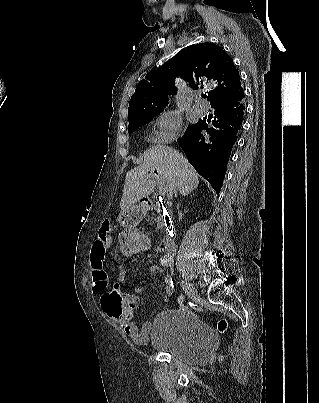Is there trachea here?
Masks as SVG:
<instances>
[{
  "label": "trachea",
  "mask_w": 319,
  "mask_h": 403,
  "mask_svg": "<svg viewBox=\"0 0 319 403\" xmlns=\"http://www.w3.org/2000/svg\"><path fill=\"white\" fill-rule=\"evenodd\" d=\"M203 97L206 98V94H203Z\"/></svg>",
  "instance_id": "trachea-1"
}]
</instances>
